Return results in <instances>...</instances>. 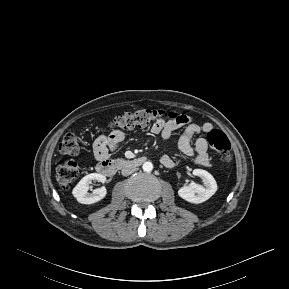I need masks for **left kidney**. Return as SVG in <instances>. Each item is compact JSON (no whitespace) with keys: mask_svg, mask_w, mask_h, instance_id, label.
I'll list each match as a JSON object with an SVG mask.
<instances>
[{"mask_svg":"<svg viewBox=\"0 0 289 289\" xmlns=\"http://www.w3.org/2000/svg\"><path fill=\"white\" fill-rule=\"evenodd\" d=\"M193 174L203 179L204 185L191 182L189 186H183L178 190V195L194 204H199L208 200L217 191V183L214 177L202 169H194Z\"/></svg>","mask_w":289,"mask_h":289,"instance_id":"obj_1","label":"left kidney"}]
</instances>
